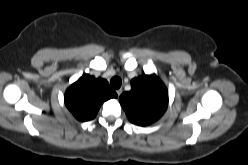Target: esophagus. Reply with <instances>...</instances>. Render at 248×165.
I'll use <instances>...</instances> for the list:
<instances>
[{
    "label": "esophagus",
    "instance_id": "esophagus-1",
    "mask_svg": "<svg viewBox=\"0 0 248 165\" xmlns=\"http://www.w3.org/2000/svg\"><path fill=\"white\" fill-rule=\"evenodd\" d=\"M122 92H123L122 88L116 90V93H117L118 97L122 94Z\"/></svg>",
    "mask_w": 248,
    "mask_h": 165
}]
</instances>
